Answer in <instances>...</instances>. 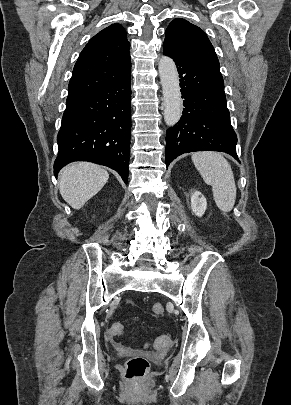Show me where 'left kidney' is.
Masks as SVG:
<instances>
[{"label":"left kidney","mask_w":291,"mask_h":405,"mask_svg":"<svg viewBox=\"0 0 291 405\" xmlns=\"http://www.w3.org/2000/svg\"><path fill=\"white\" fill-rule=\"evenodd\" d=\"M191 208L193 213L201 217L207 209L206 198L199 191H195L191 196Z\"/></svg>","instance_id":"left-kidney-1"}]
</instances>
